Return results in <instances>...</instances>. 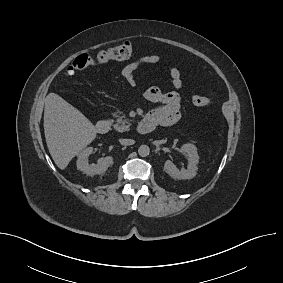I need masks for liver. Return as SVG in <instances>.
Returning a JSON list of instances; mask_svg holds the SVG:
<instances>
[{
	"mask_svg": "<svg viewBox=\"0 0 283 283\" xmlns=\"http://www.w3.org/2000/svg\"><path fill=\"white\" fill-rule=\"evenodd\" d=\"M44 133L49 153L62 170L96 138L89 119L55 93L45 99Z\"/></svg>",
	"mask_w": 283,
	"mask_h": 283,
	"instance_id": "liver-1",
	"label": "liver"
}]
</instances>
